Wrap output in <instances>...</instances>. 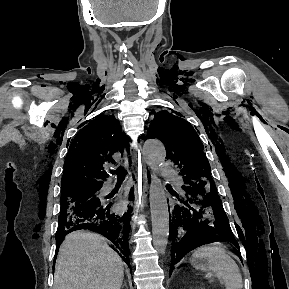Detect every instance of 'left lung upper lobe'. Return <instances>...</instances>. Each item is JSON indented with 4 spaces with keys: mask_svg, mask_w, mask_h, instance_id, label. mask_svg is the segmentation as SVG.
I'll use <instances>...</instances> for the list:
<instances>
[{
    "mask_svg": "<svg viewBox=\"0 0 289 289\" xmlns=\"http://www.w3.org/2000/svg\"><path fill=\"white\" fill-rule=\"evenodd\" d=\"M154 115L147 138H158L165 144L167 157L177 166L184 184L215 186L203 144L195 129L184 119L167 111L154 112Z\"/></svg>",
    "mask_w": 289,
    "mask_h": 289,
    "instance_id": "left-lung-upper-lobe-1",
    "label": "left lung upper lobe"
}]
</instances>
